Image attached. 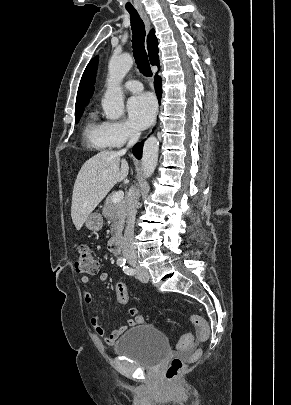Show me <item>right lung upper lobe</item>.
<instances>
[{
  "mask_svg": "<svg viewBox=\"0 0 291 405\" xmlns=\"http://www.w3.org/2000/svg\"><path fill=\"white\" fill-rule=\"evenodd\" d=\"M147 47L149 53V59L152 65L159 67L158 57V40L155 36V31L151 30L147 38ZM98 64V57L93 58L87 65L78 88L75 110L84 108L91 98L94 91V83L96 77V70Z\"/></svg>",
  "mask_w": 291,
  "mask_h": 405,
  "instance_id": "obj_1",
  "label": "right lung upper lobe"
}]
</instances>
